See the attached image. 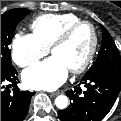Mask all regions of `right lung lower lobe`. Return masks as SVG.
<instances>
[{"mask_svg":"<svg viewBox=\"0 0 121 121\" xmlns=\"http://www.w3.org/2000/svg\"><path fill=\"white\" fill-rule=\"evenodd\" d=\"M14 67H1V121H22L28 113L31 95L16 86Z\"/></svg>","mask_w":121,"mask_h":121,"instance_id":"98d812e1","label":"right lung lower lobe"}]
</instances>
